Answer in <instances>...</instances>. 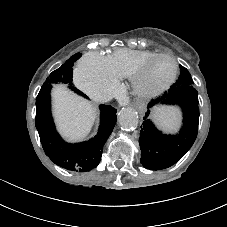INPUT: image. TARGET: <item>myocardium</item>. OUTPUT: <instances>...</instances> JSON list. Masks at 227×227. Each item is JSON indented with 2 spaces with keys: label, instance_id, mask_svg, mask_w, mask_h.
I'll return each mask as SVG.
<instances>
[{
  "label": "myocardium",
  "instance_id": "f54148a6",
  "mask_svg": "<svg viewBox=\"0 0 227 227\" xmlns=\"http://www.w3.org/2000/svg\"><path fill=\"white\" fill-rule=\"evenodd\" d=\"M159 59H167L172 64V73L163 83L150 84L148 82L150 67ZM178 74V65L176 60L169 54L159 53L146 60L140 68L131 77L133 92L140 98L150 99L160 96L167 91L175 82Z\"/></svg>",
  "mask_w": 227,
  "mask_h": 227
}]
</instances>
